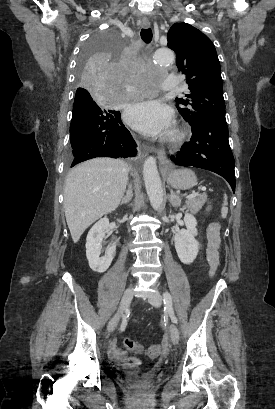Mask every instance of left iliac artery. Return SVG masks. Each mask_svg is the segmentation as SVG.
I'll return each mask as SVG.
<instances>
[{
    "instance_id": "obj_1",
    "label": "left iliac artery",
    "mask_w": 275,
    "mask_h": 409,
    "mask_svg": "<svg viewBox=\"0 0 275 409\" xmlns=\"http://www.w3.org/2000/svg\"><path fill=\"white\" fill-rule=\"evenodd\" d=\"M163 298H164V310L169 314L171 320L173 323H177L178 319L175 316L174 310H173V303H172V297L170 295L169 292H164L163 294Z\"/></svg>"
}]
</instances>
